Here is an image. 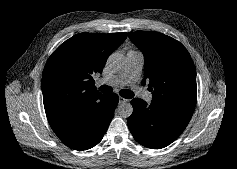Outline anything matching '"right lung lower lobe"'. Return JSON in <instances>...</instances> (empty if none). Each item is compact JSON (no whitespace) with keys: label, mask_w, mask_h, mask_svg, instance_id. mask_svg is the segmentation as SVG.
Returning a JSON list of instances; mask_svg holds the SVG:
<instances>
[{"label":"right lung lower lobe","mask_w":237,"mask_h":169,"mask_svg":"<svg viewBox=\"0 0 237 169\" xmlns=\"http://www.w3.org/2000/svg\"><path fill=\"white\" fill-rule=\"evenodd\" d=\"M117 104V94L103 95L96 91L49 123L65 145L86 150L101 141Z\"/></svg>","instance_id":"obj_1"}]
</instances>
